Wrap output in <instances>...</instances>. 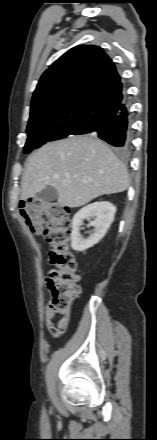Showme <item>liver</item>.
<instances>
[{
	"label": "liver",
	"mask_w": 157,
	"mask_h": 440,
	"mask_svg": "<svg viewBox=\"0 0 157 440\" xmlns=\"http://www.w3.org/2000/svg\"><path fill=\"white\" fill-rule=\"evenodd\" d=\"M126 166L95 136L50 142L25 163L22 199L35 196L48 186L58 193V203L80 207L101 195L128 188Z\"/></svg>",
	"instance_id": "6515ba94"
}]
</instances>
